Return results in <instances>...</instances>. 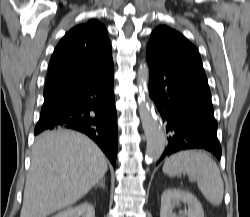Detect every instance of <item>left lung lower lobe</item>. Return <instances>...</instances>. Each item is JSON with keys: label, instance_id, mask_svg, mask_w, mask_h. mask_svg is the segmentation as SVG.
<instances>
[{"label": "left lung lower lobe", "instance_id": "left-lung-lower-lobe-1", "mask_svg": "<svg viewBox=\"0 0 250 217\" xmlns=\"http://www.w3.org/2000/svg\"><path fill=\"white\" fill-rule=\"evenodd\" d=\"M146 59L150 69L149 95L169 135L158 162L186 149H206L220 159L217 122L204 70L168 63L148 50Z\"/></svg>", "mask_w": 250, "mask_h": 217}]
</instances>
